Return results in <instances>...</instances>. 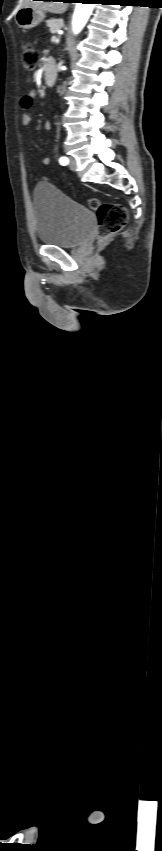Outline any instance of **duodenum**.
Wrapping results in <instances>:
<instances>
[{
    "label": "duodenum",
    "instance_id": "duodenum-1",
    "mask_svg": "<svg viewBox=\"0 0 162 851\" xmlns=\"http://www.w3.org/2000/svg\"><path fill=\"white\" fill-rule=\"evenodd\" d=\"M56 79V68L53 60H47L44 65V83L46 86H51Z\"/></svg>",
    "mask_w": 162,
    "mask_h": 851
}]
</instances>
